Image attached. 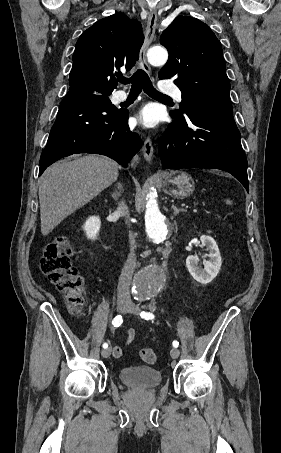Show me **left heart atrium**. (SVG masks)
<instances>
[{
    "label": "left heart atrium",
    "mask_w": 281,
    "mask_h": 453,
    "mask_svg": "<svg viewBox=\"0 0 281 453\" xmlns=\"http://www.w3.org/2000/svg\"><path fill=\"white\" fill-rule=\"evenodd\" d=\"M133 121L145 128H152L161 121V115L155 105L142 107L133 117Z\"/></svg>",
    "instance_id": "obj_1"
}]
</instances>
